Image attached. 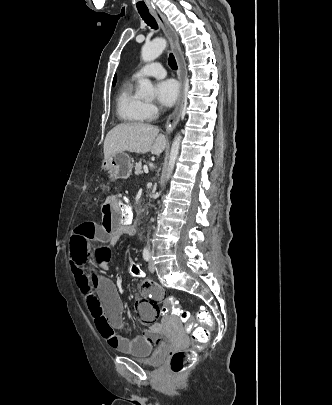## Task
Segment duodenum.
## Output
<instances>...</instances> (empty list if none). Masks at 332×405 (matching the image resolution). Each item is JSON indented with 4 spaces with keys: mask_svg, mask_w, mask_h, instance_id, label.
<instances>
[{
    "mask_svg": "<svg viewBox=\"0 0 332 405\" xmlns=\"http://www.w3.org/2000/svg\"><path fill=\"white\" fill-rule=\"evenodd\" d=\"M139 226V222L138 221H131L127 224V232L128 233H135L137 228Z\"/></svg>",
    "mask_w": 332,
    "mask_h": 405,
    "instance_id": "duodenum-1",
    "label": "duodenum"
}]
</instances>
